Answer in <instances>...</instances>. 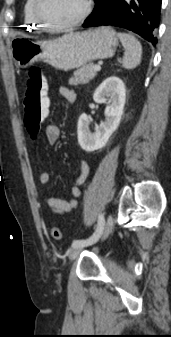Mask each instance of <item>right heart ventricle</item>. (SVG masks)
<instances>
[{"instance_id":"1","label":"right heart ventricle","mask_w":171,"mask_h":337,"mask_svg":"<svg viewBox=\"0 0 171 337\" xmlns=\"http://www.w3.org/2000/svg\"><path fill=\"white\" fill-rule=\"evenodd\" d=\"M35 0H25L23 5L24 26L31 30L43 31V26L37 21L34 13Z\"/></svg>"}]
</instances>
